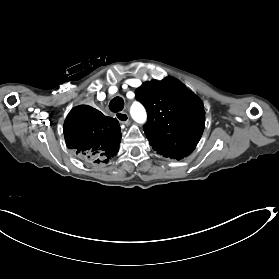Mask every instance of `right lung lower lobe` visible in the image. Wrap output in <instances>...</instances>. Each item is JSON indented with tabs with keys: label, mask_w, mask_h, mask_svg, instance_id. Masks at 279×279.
I'll return each instance as SVG.
<instances>
[{
	"label": "right lung lower lobe",
	"mask_w": 279,
	"mask_h": 279,
	"mask_svg": "<svg viewBox=\"0 0 279 279\" xmlns=\"http://www.w3.org/2000/svg\"><path fill=\"white\" fill-rule=\"evenodd\" d=\"M63 131L66 146L86 164L108 163L118 152L121 141L118 121L90 106L73 108Z\"/></svg>",
	"instance_id": "98d812e1"
}]
</instances>
